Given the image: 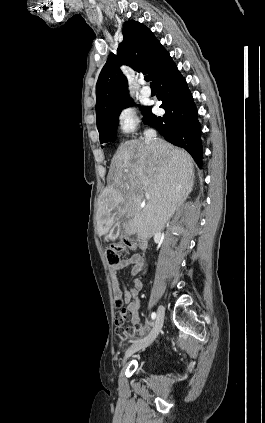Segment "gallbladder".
<instances>
[{
	"label": "gallbladder",
	"instance_id": "gallbladder-1",
	"mask_svg": "<svg viewBox=\"0 0 265 423\" xmlns=\"http://www.w3.org/2000/svg\"><path fill=\"white\" fill-rule=\"evenodd\" d=\"M121 230V224L117 223L111 230V232L109 233V235L107 236V240H115L118 235H119V231Z\"/></svg>",
	"mask_w": 265,
	"mask_h": 423
}]
</instances>
